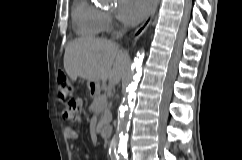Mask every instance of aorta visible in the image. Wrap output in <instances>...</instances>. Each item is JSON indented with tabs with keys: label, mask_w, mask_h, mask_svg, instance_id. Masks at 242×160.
<instances>
[{
	"label": "aorta",
	"mask_w": 242,
	"mask_h": 160,
	"mask_svg": "<svg viewBox=\"0 0 242 160\" xmlns=\"http://www.w3.org/2000/svg\"><path fill=\"white\" fill-rule=\"evenodd\" d=\"M143 60V55H138L135 59V63L132 67V71L126 79V94L122 100L120 107V117L118 119V124L116 132L119 135V143L117 147V138L114 135L109 148L116 153L117 160H125L127 157V140H128V130L130 125L131 116V90L134 83L137 81L140 73V68Z\"/></svg>",
	"instance_id": "1"
}]
</instances>
